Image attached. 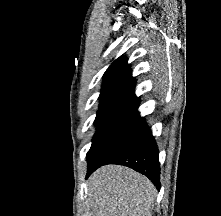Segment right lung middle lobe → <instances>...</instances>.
Returning a JSON list of instances; mask_svg holds the SVG:
<instances>
[{
    "label": "right lung middle lobe",
    "instance_id": "1",
    "mask_svg": "<svg viewBox=\"0 0 221 216\" xmlns=\"http://www.w3.org/2000/svg\"><path fill=\"white\" fill-rule=\"evenodd\" d=\"M96 134L87 154L88 166L102 164L138 140L148 129L139 115H120L95 121Z\"/></svg>",
    "mask_w": 221,
    "mask_h": 216
}]
</instances>
